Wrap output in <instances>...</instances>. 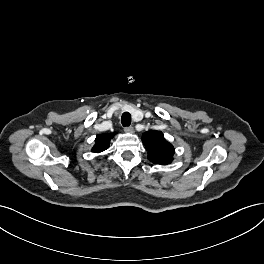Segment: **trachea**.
<instances>
[{"label": "trachea", "instance_id": "obj_1", "mask_svg": "<svg viewBox=\"0 0 264 264\" xmlns=\"http://www.w3.org/2000/svg\"><path fill=\"white\" fill-rule=\"evenodd\" d=\"M121 123L125 127L130 126V124H131V114L129 112H124L122 114Z\"/></svg>", "mask_w": 264, "mask_h": 264}]
</instances>
